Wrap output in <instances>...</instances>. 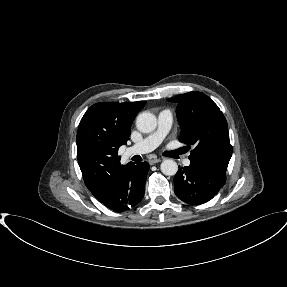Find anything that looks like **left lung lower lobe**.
I'll return each mask as SVG.
<instances>
[{
	"label": "left lung lower lobe",
	"instance_id": "0a47b994",
	"mask_svg": "<svg viewBox=\"0 0 287 287\" xmlns=\"http://www.w3.org/2000/svg\"><path fill=\"white\" fill-rule=\"evenodd\" d=\"M227 168L208 161H191L180 168L174 177L176 196L192 205L211 200L226 181Z\"/></svg>",
	"mask_w": 287,
	"mask_h": 287
}]
</instances>
